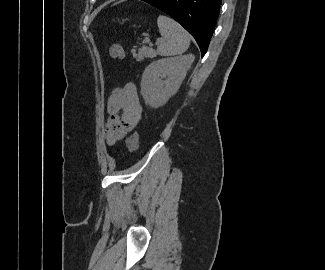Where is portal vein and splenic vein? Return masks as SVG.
<instances>
[{"label": "portal vein and splenic vein", "instance_id": "portal-vein-and-splenic-vein-1", "mask_svg": "<svg viewBox=\"0 0 325 270\" xmlns=\"http://www.w3.org/2000/svg\"><path fill=\"white\" fill-rule=\"evenodd\" d=\"M163 40L162 39H158L156 41V44L162 43ZM145 43H148L150 46H152L151 40L149 38H145Z\"/></svg>", "mask_w": 325, "mask_h": 270}]
</instances>
